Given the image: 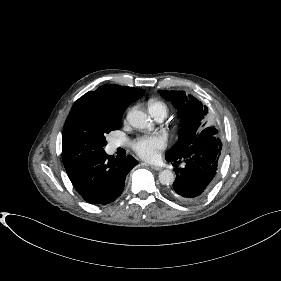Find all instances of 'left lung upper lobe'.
<instances>
[{"mask_svg": "<svg viewBox=\"0 0 281 281\" xmlns=\"http://www.w3.org/2000/svg\"><path fill=\"white\" fill-rule=\"evenodd\" d=\"M159 93L178 109V114L183 122L179 140L166 153V159H181L191 145L218 136V130L214 126H206L205 118L208 108L198 99L186 95L184 91L159 90Z\"/></svg>", "mask_w": 281, "mask_h": 281, "instance_id": "5c2ea615", "label": "left lung upper lobe"}]
</instances>
